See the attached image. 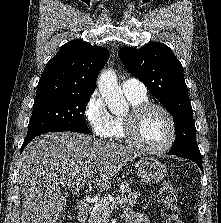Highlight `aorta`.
I'll use <instances>...</instances> for the list:
<instances>
[{
  "label": "aorta",
  "instance_id": "1",
  "mask_svg": "<svg viewBox=\"0 0 221 223\" xmlns=\"http://www.w3.org/2000/svg\"><path fill=\"white\" fill-rule=\"evenodd\" d=\"M97 84L101 97L111 113L118 115L127 111L128 103L112 69L103 70Z\"/></svg>",
  "mask_w": 221,
  "mask_h": 223
}]
</instances>
